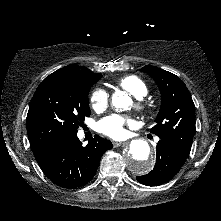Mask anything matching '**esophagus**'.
I'll use <instances>...</instances> for the list:
<instances>
[{
    "mask_svg": "<svg viewBox=\"0 0 221 221\" xmlns=\"http://www.w3.org/2000/svg\"><path fill=\"white\" fill-rule=\"evenodd\" d=\"M128 144V141H124V142H113V146L115 147V148H117V147H120V146H124V145H127Z\"/></svg>",
    "mask_w": 221,
    "mask_h": 221,
    "instance_id": "1",
    "label": "esophagus"
}]
</instances>
